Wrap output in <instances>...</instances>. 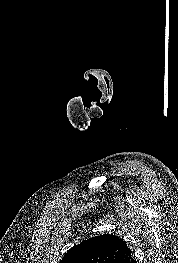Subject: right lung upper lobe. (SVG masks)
Listing matches in <instances>:
<instances>
[{"label":"right lung upper lobe","instance_id":"cb5924a9","mask_svg":"<svg viewBox=\"0 0 178 263\" xmlns=\"http://www.w3.org/2000/svg\"><path fill=\"white\" fill-rule=\"evenodd\" d=\"M59 263H137L131 249L118 236L104 234L75 245Z\"/></svg>","mask_w":178,"mask_h":263}]
</instances>
